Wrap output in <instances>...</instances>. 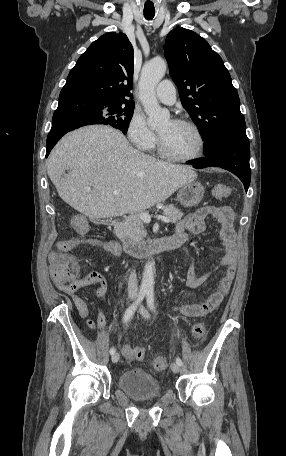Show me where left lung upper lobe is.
<instances>
[{
    "label": "left lung upper lobe",
    "instance_id": "1",
    "mask_svg": "<svg viewBox=\"0 0 286 456\" xmlns=\"http://www.w3.org/2000/svg\"><path fill=\"white\" fill-rule=\"evenodd\" d=\"M164 55L181 102L200 129L204 148L222 138L248 139L237 90L208 42L178 27L167 35Z\"/></svg>",
    "mask_w": 286,
    "mask_h": 456
}]
</instances>
